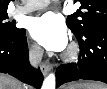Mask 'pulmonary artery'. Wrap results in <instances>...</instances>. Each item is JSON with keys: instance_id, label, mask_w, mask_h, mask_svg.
<instances>
[{"instance_id": "1", "label": "pulmonary artery", "mask_w": 107, "mask_h": 89, "mask_svg": "<svg viewBox=\"0 0 107 89\" xmlns=\"http://www.w3.org/2000/svg\"><path fill=\"white\" fill-rule=\"evenodd\" d=\"M49 0H31L25 6L15 9L14 14H27L35 10L43 9L49 5Z\"/></svg>"}]
</instances>
